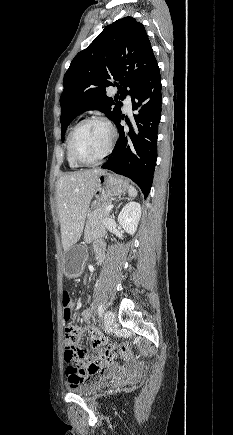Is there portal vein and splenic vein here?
<instances>
[{
  "label": "portal vein and splenic vein",
  "instance_id": "portal-vein-and-splenic-vein-1",
  "mask_svg": "<svg viewBox=\"0 0 233 435\" xmlns=\"http://www.w3.org/2000/svg\"><path fill=\"white\" fill-rule=\"evenodd\" d=\"M113 207H114V205H109V206L106 208V211H110Z\"/></svg>",
  "mask_w": 233,
  "mask_h": 435
}]
</instances>
